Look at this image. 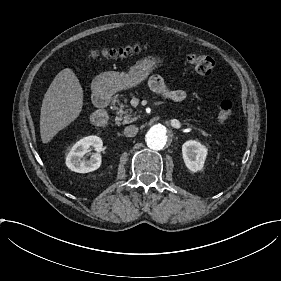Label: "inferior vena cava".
Wrapping results in <instances>:
<instances>
[{"mask_svg":"<svg viewBox=\"0 0 281 281\" xmlns=\"http://www.w3.org/2000/svg\"><path fill=\"white\" fill-rule=\"evenodd\" d=\"M138 133V127L135 125H129L124 129V135L126 137H134Z\"/></svg>","mask_w":281,"mask_h":281,"instance_id":"602c4592","label":"inferior vena cava"}]
</instances>
